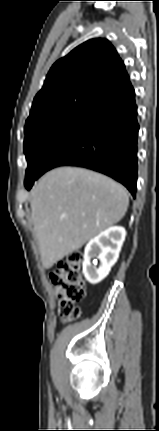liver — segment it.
I'll return each mask as SVG.
<instances>
[{
  "label": "liver",
  "mask_w": 159,
  "mask_h": 431,
  "mask_svg": "<svg viewBox=\"0 0 159 431\" xmlns=\"http://www.w3.org/2000/svg\"><path fill=\"white\" fill-rule=\"evenodd\" d=\"M31 221L44 268H51L127 211V190L94 171L60 167L46 173L30 194Z\"/></svg>",
  "instance_id": "6515ba94"
}]
</instances>
